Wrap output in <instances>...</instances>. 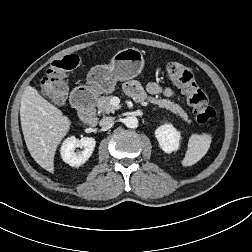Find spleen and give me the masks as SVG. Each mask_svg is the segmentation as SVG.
I'll list each match as a JSON object with an SVG mask.
<instances>
[{
    "mask_svg": "<svg viewBox=\"0 0 252 252\" xmlns=\"http://www.w3.org/2000/svg\"><path fill=\"white\" fill-rule=\"evenodd\" d=\"M211 141V134H192L188 141V147L182 165L184 167L192 166L202 159L209 150Z\"/></svg>",
    "mask_w": 252,
    "mask_h": 252,
    "instance_id": "3e777b00",
    "label": "spleen"
}]
</instances>
